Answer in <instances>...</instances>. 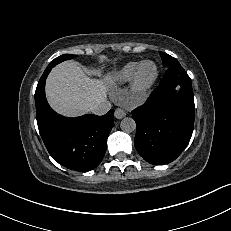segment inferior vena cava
<instances>
[{"instance_id":"inferior-vena-cava-1","label":"inferior vena cava","mask_w":231,"mask_h":231,"mask_svg":"<svg viewBox=\"0 0 231 231\" xmlns=\"http://www.w3.org/2000/svg\"><path fill=\"white\" fill-rule=\"evenodd\" d=\"M111 109V103L104 101L99 105H95L91 108V112L95 115H104Z\"/></svg>"}]
</instances>
